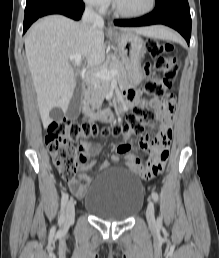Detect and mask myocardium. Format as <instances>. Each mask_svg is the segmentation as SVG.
Segmentation results:
<instances>
[{
  "mask_svg": "<svg viewBox=\"0 0 219 258\" xmlns=\"http://www.w3.org/2000/svg\"><path fill=\"white\" fill-rule=\"evenodd\" d=\"M156 2H157L156 0H150L149 7L146 8L145 10H142L139 12H127V11L122 10L119 7L116 0H112V5H113V10L117 15H119L121 17H125V18H138V17H142V16H145V15L151 13L156 6Z\"/></svg>",
  "mask_w": 219,
  "mask_h": 258,
  "instance_id": "myocardium-1",
  "label": "myocardium"
}]
</instances>
